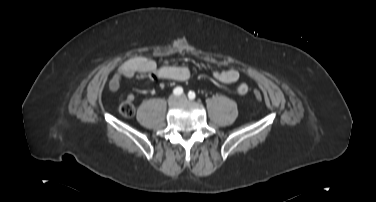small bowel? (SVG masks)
<instances>
[{"instance_id": "small-bowel-1", "label": "small bowel", "mask_w": 376, "mask_h": 202, "mask_svg": "<svg viewBox=\"0 0 376 202\" xmlns=\"http://www.w3.org/2000/svg\"><path fill=\"white\" fill-rule=\"evenodd\" d=\"M141 76L150 80H170L177 82H185L191 78L190 69L186 66L178 65H162L158 66L156 62L144 56L132 57L119 65L117 70L111 76L108 82V88L111 92H116L120 88L123 78H133ZM214 77L221 83L233 84L240 78V73L236 69H226L216 71ZM235 92L243 96L248 92V86L245 83H238ZM134 100V96L130 94L128 97Z\"/></svg>"}]
</instances>
